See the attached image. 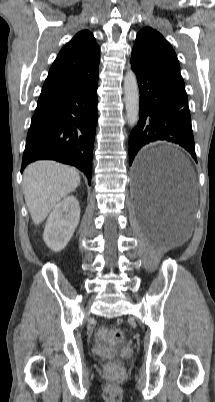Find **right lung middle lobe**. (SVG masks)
Listing matches in <instances>:
<instances>
[{
  "instance_id": "dd1d6c3e",
  "label": "right lung middle lobe",
  "mask_w": 215,
  "mask_h": 402,
  "mask_svg": "<svg viewBox=\"0 0 215 402\" xmlns=\"http://www.w3.org/2000/svg\"><path fill=\"white\" fill-rule=\"evenodd\" d=\"M44 105H42V104H37V108H36V110H38V109H40V108H42Z\"/></svg>"
}]
</instances>
